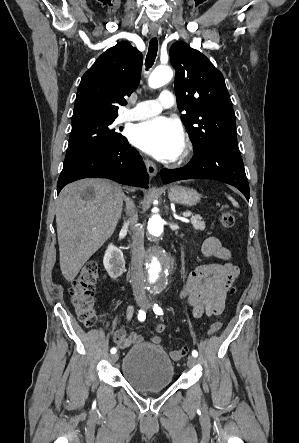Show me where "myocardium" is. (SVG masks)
Returning <instances> with one entry per match:
<instances>
[{"mask_svg": "<svg viewBox=\"0 0 299 443\" xmlns=\"http://www.w3.org/2000/svg\"><path fill=\"white\" fill-rule=\"evenodd\" d=\"M190 151H191L190 143L186 142L184 144V147H183V150H182V153H181V156H180V161H183L184 159H186L188 157Z\"/></svg>", "mask_w": 299, "mask_h": 443, "instance_id": "obj_1", "label": "myocardium"}]
</instances>
